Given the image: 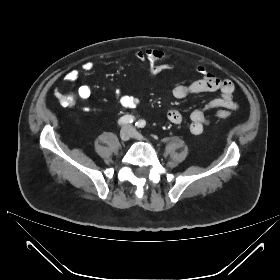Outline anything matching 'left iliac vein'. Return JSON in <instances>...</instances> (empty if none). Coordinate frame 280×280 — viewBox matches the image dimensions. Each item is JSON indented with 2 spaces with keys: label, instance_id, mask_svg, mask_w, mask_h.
I'll return each mask as SVG.
<instances>
[{
  "label": "left iliac vein",
  "instance_id": "obj_1",
  "mask_svg": "<svg viewBox=\"0 0 280 280\" xmlns=\"http://www.w3.org/2000/svg\"><path fill=\"white\" fill-rule=\"evenodd\" d=\"M132 138H135L137 140H143V136L133 130H132Z\"/></svg>",
  "mask_w": 280,
  "mask_h": 280
}]
</instances>
